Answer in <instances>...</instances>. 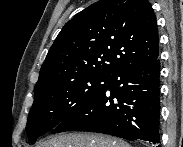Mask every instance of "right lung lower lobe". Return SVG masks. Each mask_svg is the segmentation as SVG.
Wrapping results in <instances>:
<instances>
[{
	"label": "right lung lower lobe",
	"instance_id": "1",
	"mask_svg": "<svg viewBox=\"0 0 183 147\" xmlns=\"http://www.w3.org/2000/svg\"><path fill=\"white\" fill-rule=\"evenodd\" d=\"M160 60L127 65L52 134L82 130L160 143Z\"/></svg>",
	"mask_w": 183,
	"mask_h": 147
}]
</instances>
